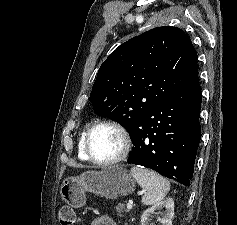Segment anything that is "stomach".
Returning a JSON list of instances; mask_svg holds the SVG:
<instances>
[{
	"label": "stomach",
	"mask_w": 237,
	"mask_h": 225,
	"mask_svg": "<svg viewBox=\"0 0 237 225\" xmlns=\"http://www.w3.org/2000/svg\"><path fill=\"white\" fill-rule=\"evenodd\" d=\"M133 176L123 167L110 166L100 171L88 170L80 176L65 179L60 187L62 199L74 208L86 203V192L106 199H116L134 192Z\"/></svg>",
	"instance_id": "obj_1"
}]
</instances>
